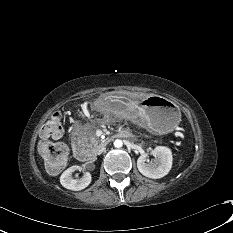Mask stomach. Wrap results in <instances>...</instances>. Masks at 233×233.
<instances>
[{"mask_svg": "<svg viewBox=\"0 0 233 233\" xmlns=\"http://www.w3.org/2000/svg\"><path fill=\"white\" fill-rule=\"evenodd\" d=\"M103 109L108 113H120L129 116L133 122L146 126L157 134L171 132L180 121V110L171 100L152 95L118 97L108 96L102 102Z\"/></svg>", "mask_w": 233, "mask_h": 233, "instance_id": "1", "label": "stomach"}]
</instances>
